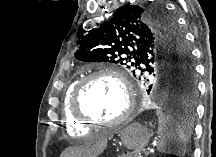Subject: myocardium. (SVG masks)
I'll use <instances>...</instances> for the list:
<instances>
[{"label": "myocardium", "mask_w": 216, "mask_h": 157, "mask_svg": "<svg viewBox=\"0 0 216 157\" xmlns=\"http://www.w3.org/2000/svg\"><path fill=\"white\" fill-rule=\"evenodd\" d=\"M98 77H108L115 80L120 85V87L124 92L125 100H126L125 110L120 115V117L114 121L106 122V121L97 120L91 117L90 115H88L87 113H85L84 110L82 109L81 101L84 95L85 88L93 79ZM134 106H135L134 95L129 83L127 82L126 78L122 74H120L118 71H116L113 68L99 69L93 73L88 74L85 77H82L77 82L73 90L71 103H70L71 113L75 119H77L78 121H80L81 123L87 126H105V127H119L125 125L133 115Z\"/></svg>", "instance_id": "myocardium-1"}]
</instances>
